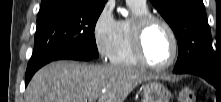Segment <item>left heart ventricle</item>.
I'll use <instances>...</instances> for the list:
<instances>
[{
  "mask_svg": "<svg viewBox=\"0 0 221 102\" xmlns=\"http://www.w3.org/2000/svg\"><path fill=\"white\" fill-rule=\"evenodd\" d=\"M145 52L153 64L167 63L173 54V42L167 29L161 24L152 25L144 38Z\"/></svg>",
  "mask_w": 221,
  "mask_h": 102,
  "instance_id": "b2bd125f",
  "label": "left heart ventricle"
}]
</instances>
